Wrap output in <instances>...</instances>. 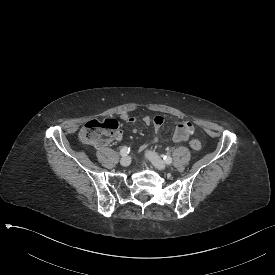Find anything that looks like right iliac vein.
<instances>
[{"label":"right iliac vein","mask_w":275,"mask_h":275,"mask_svg":"<svg viewBox=\"0 0 275 275\" xmlns=\"http://www.w3.org/2000/svg\"><path fill=\"white\" fill-rule=\"evenodd\" d=\"M130 163H131V159H130V157H128V156H124V157L120 160V164H121L122 166H124V167L129 166Z\"/></svg>","instance_id":"1"}]
</instances>
